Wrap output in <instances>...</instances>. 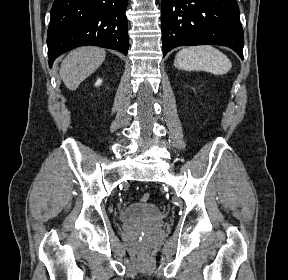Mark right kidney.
<instances>
[{
	"instance_id": "obj_1",
	"label": "right kidney",
	"mask_w": 288,
	"mask_h": 280,
	"mask_svg": "<svg viewBox=\"0 0 288 280\" xmlns=\"http://www.w3.org/2000/svg\"><path fill=\"white\" fill-rule=\"evenodd\" d=\"M101 83H102V80H101V79H98V80L96 81V83H95V86H99V85H101Z\"/></svg>"
}]
</instances>
